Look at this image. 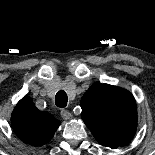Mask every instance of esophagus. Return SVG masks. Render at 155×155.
I'll return each mask as SVG.
<instances>
[{
  "instance_id": "1",
  "label": "esophagus",
  "mask_w": 155,
  "mask_h": 155,
  "mask_svg": "<svg viewBox=\"0 0 155 155\" xmlns=\"http://www.w3.org/2000/svg\"><path fill=\"white\" fill-rule=\"evenodd\" d=\"M61 114V117L64 119V120H70L72 118V115L70 112L66 111V110H62L60 112Z\"/></svg>"
}]
</instances>
